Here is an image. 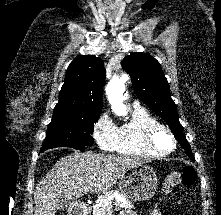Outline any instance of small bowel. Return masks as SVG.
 <instances>
[{
  "label": "small bowel",
  "mask_w": 221,
  "mask_h": 215,
  "mask_svg": "<svg viewBox=\"0 0 221 215\" xmlns=\"http://www.w3.org/2000/svg\"><path fill=\"white\" fill-rule=\"evenodd\" d=\"M120 215H136V214L131 210H124L121 212ZM149 215H161V212L158 209H151L149 211Z\"/></svg>",
  "instance_id": "1"
}]
</instances>
